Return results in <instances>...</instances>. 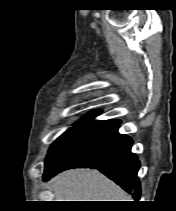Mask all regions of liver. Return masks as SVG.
Masks as SVG:
<instances>
[{"mask_svg":"<svg viewBox=\"0 0 176 211\" xmlns=\"http://www.w3.org/2000/svg\"><path fill=\"white\" fill-rule=\"evenodd\" d=\"M56 201H130L118 185L97 170L74 169L51 180Z\"/></svg>","mask_w":176,"mask_h":211,"instance_id":"6515ba94","label":"liver"}]
</instances>
